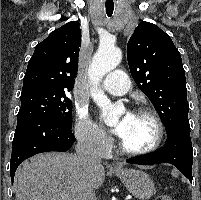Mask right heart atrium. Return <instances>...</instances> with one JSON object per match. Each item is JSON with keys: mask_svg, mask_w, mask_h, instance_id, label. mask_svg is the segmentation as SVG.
<instances>
[{"mask_svg": "<svg viewBox=\"0 0 201 200\" xmlns=\"http://www.w3.org/2000/svg\"><path fill=\"white\" fill-rule=\"evenodd\" d=\"M75 135L79 143L98 155L105 156L109 153L112 141L102 128L92 121L86 108L77 110Z\"/></svg>", "mask_w": 201, "mask_h": 200, "instance_id": "obj_1", "label": "right heart atrium"}]
</instances>
